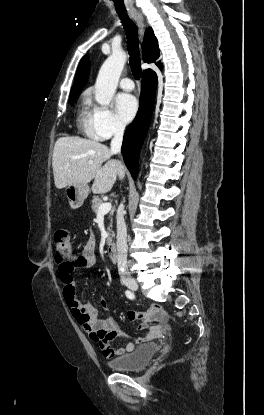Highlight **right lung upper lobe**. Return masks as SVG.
I'll return each mask as SVG.
<instances>
[{
  "mask_svg": "<svg viewBox=\"0 0 264 415\" xmlns=\"http://www.w3.org/2000/svg\"><path fill=\"white\" fill-rule=\"evenodd\" d=\"M143 48V60L147 63L155 62L156 59L159 57V47L157 39L154 35L152 28H148L145 33L144 43L142 45ZM156 65L161 69V63L157 62ZM89 73V60L87 56L82 57L80 60L78 69L75 74L74 84L71 89L70 97L76 96L80 93L82 87L85 85V82L88 78ZM147 73H155L151 69H147L143 72V74Z\"/></svg>",
  "mask_w": 264,
  "mask_h": 415,
  "instance_id": "cb5924a9",
  "label": "right lung upper lobe"
}]
</instances>
